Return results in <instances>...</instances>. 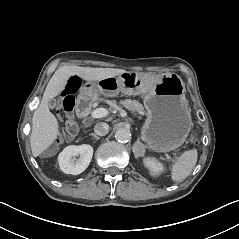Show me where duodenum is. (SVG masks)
I'll use <instances>...</instances> for the list:
<instances>
[{
    "mask_svg": "<svg viewBox=\"0 0 239 239\" xmlns=\"http://www.w3.org/2000/svg\"><path fill=\"white\" fill-rule=\"evenodd\" d=\"M76 111L78 116L86 122L91 112V100L88 96H82L76 105Z\"/></svg>",
    "mask_w": 239,
    "mask_h": 239,
    "instance_id": "410a0bca",
    "label": "duodenum"
}]
</instances>
